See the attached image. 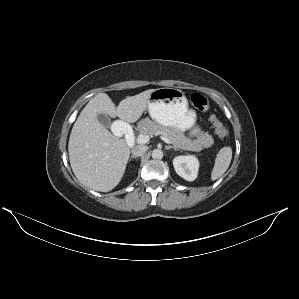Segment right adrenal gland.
<instances>
[{
	"mask_svg": "<svg viewBox=\"0 0 299 299\" xmlns=\"http://www.w3.org/2000/svg\"><path fill=\"white\" fill-rule=\"evenodd\" d=\"M134 158H138V157H137V156H131L130 160H131V159H134Z\"/></svg>",
	"mask_w": 299,
	"mask_h": 299,
	"instance_id": "obj_1",
	"label": "right adrenal gland"
}]
</instances>
